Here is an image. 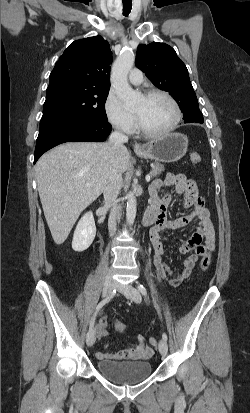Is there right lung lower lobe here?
<instances>
[{"label":"right lung lower lobe","mask_w":250,"mask_h":413,"mask_svg":"<svg viewBox=\"0 0 250 413\" xmlns=\"http://www.w3.org/2000/svg\"><path fill=\"white\" fill-rule=\"evenodd\" d=\"M112 126L108 121L67 120L55 123L39 131L34 152V163L52 147L64 142H101L110 134Z\"/></svg>","instance_id":"1"}]
</instances>
